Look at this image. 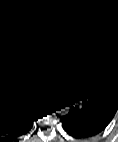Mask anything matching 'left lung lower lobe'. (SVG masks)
I'll return each instance as SVG.
<instances>
[{"instance_id": "obj_1", "label": "left lung lower lobe", "mask_w": 118, "mask_h": 142, "mask_svg": "<svg viewBox=\"0 0 118 142\" xmlns=\"http://www.w3.org/2000/svg\"><path fill=\"white\" fill-rule=\"evenodd\" d=\"M62 126L71 136L81 138L90 137L98 133L72 112L61 118Z\"/></svg>"}]
</instances>
